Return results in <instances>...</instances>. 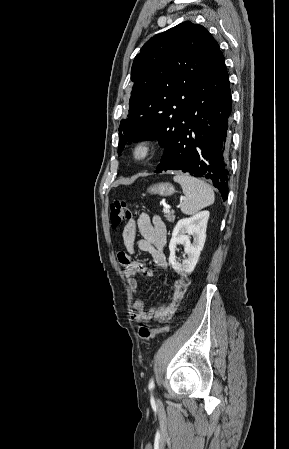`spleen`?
I'll return each mask as SVG.
<instances>
[{
  "label": "spleen",
  "mask_w": 289,
  "mask_h": 449,
  "mask_svg": "<svg viewBox=\"0 0 289 449\" xmlns=\"http://www.w3.org/2000/svg\"><path fill=\"white\" fill-rule=\"evenodd\" d=\"M173 179L181 185L183 193L186 196L180 206L184 214H195L199 210L214 203V192L204 181L183 173H177Z\"/></svg>",
  "instance_id": "1"
}]
</instances>
